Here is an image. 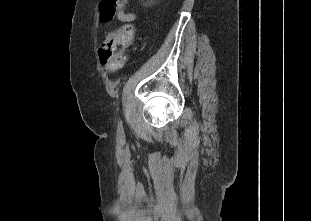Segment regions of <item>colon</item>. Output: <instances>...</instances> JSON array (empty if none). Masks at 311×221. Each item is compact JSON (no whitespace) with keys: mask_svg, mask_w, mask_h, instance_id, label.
<instances>
[{"mask_svg":"<svg viewBox=\"0 0 311 221\" xmlns=\"http://www.w3.org/2000/svg\"><path fill=\"white\" fill-rule=\"evenodd\" d=\"M128 0H105L101 3V10L97 20L109 22L110 17H121L122 6L116 4H127ZM135 27L132 23L124 24L119 29L106 33L103 43L99 49L101 61L107 70L112 73L121 68L124 63V52L131 44L134 37Z\"/></svg>","mask_w":311,"mask_h":221,"instance_id":"5ec220e1","label":"colon"}]
</instances>
